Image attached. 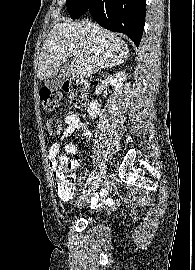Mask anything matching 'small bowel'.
<instances>
[{"label": "small bowel", "mask_w": 195, "mask_h": 270, "mask_svg": "<svg viewBox=\"0 0 195 270\" xmlns=\"http://www.w3.org/2000/svg\"><path fill=\"white\" fill-rule=\"evenodd\" d=\"M64 122L66 126L62 138H67L76 132H78L82 138H88L90 136V132L80 116L76 114H68L64 118ZM58 153H59V145L57 143H53L47 152L49 159V166L53 175L58 168V159H57ZM79 165H80L79 162L76 160L70 162V167L72 171L78 170ZM74 193L75 191L74 189H72L67 194L58 193V195L62 200L69 201L73 198ZM100 198L101 197L99 194H95L94 197L92 198V205L97 206L100 203ZM105 202L107 204H111L113 201L112 199H106Z\"/></svg>", "instance_id": "obj_1"}]
</instances>
